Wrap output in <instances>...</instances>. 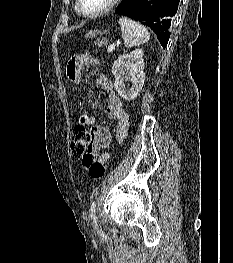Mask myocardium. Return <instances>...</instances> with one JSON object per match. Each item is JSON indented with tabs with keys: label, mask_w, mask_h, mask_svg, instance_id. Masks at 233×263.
Returning a JSON list of instances; mask_svg holds the SVG:
<instances>
[{
	"label": "myocardium",
	"mask_w": 233,
	"mask_h": 263,
	"mask_svg": "<svg viewBox=\"0 0 233 263\" xmlns=\"http://www.w3.org/2000/svg\"><path fill=\"white\" fill-rule=\"evenodd\" d=\"M119 1L120 0H109L107 5L105 7H103L102 9H100L99 11L94 12V13H85L81 9V0H76V10L81 16H83L85 18H97V17H100V16L110 12L118 4Z\"/></svg>",
	"instance_id": "1"
}]
</instances>
